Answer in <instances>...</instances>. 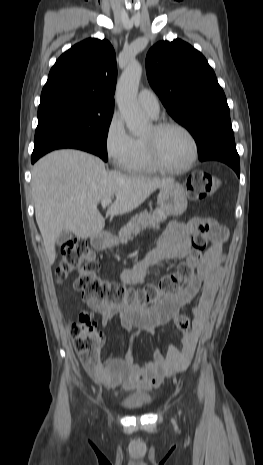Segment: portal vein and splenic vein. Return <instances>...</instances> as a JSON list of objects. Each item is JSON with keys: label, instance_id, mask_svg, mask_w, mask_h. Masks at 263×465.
<instances>
[{"label": "portal vein and splenic vein", "instance_id": "18ae733b", "mask_svg": "<svg viewBox=\"0 0 263 465\" xmlns=\"http://www.w3.org/2000/svg\"><path fill=\"white\" fill-rule=\"evenodd\" d=\"M112 202V199L111 198H106V199H103L101 201V206L103 208L107 207L110 203Z\"/></svg>", "mask_w": 263, "mask_h": 465}]
</instances>
